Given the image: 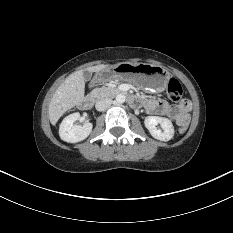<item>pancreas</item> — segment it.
Returning a JSON list of instances; mask_svg holds the SVG:
<instances>
[{
  "mask_svg": "<svg viewBox=\"0 0 233 233\" xmlns=\"http://www.w3.org/2000/svg\"><path fill=\"white\" fill-rule=\"evenodd\" d=\"M118 93H119L118 88L110 87V86H102L100 88H95L91 91V95L97 99L114 97Z\"/></svg>",
  "mask_w": 233,
  "mask_h": 233,
  "instance_id": "pancreas-1",
  "label": "pancreas"
}]
</instances>
